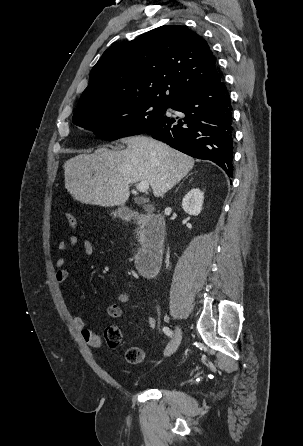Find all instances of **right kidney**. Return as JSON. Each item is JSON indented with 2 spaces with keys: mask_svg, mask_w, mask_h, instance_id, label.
Listing matches in <instances>:
<instances>
[{
  "mask_svg": "<svg viewBox=\"0 0 303 446\" xmlns=\"http://www.w3.org/2000/svg\"><path fill=\"white\" fill-rule=\"evenodd\" d=\"M203 200V192L197 188H193L184 196L182 208L186 213L198 216L202 210Z\"/></svg>",
  "mask_w": 303,
  "mask_h": 446,
  "instance_id": "obj_1",
  "label": "right kidney"
}]
</instances>
